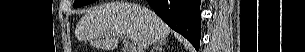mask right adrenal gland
<instances>
[{
  "label": "right adrenal gland",
  "mask_w": 305,
  "mask_h": 52,
  "mask_svg": "<svg viewBox=\"0 0 305 52\" xmlns=\"http://www.w3.org/2000/svg\"><path fill=\"white\" fill-rule=\"evenodd\" d=\"M165 45H166V41H159L153 45L151 52H155V51L161 52L163 50V46H165Z\"/></svg>",
  "instance_id": "1"
}]
</instances>
